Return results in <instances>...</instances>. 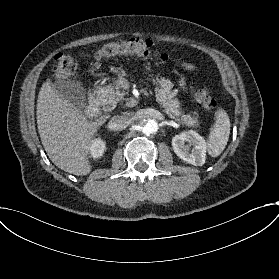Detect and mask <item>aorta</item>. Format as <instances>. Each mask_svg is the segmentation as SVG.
Listing matches in <instances>:
<instances>
[{
  "mask_svg": "<svg viewBox=\"0 0 279 279\" xmlns=\"http://www.w3.org/2000/svg\"><path fill=\"white\" fill-rule=\"evenodd\" d=\"M140 130L146 135H151L157 132L158 123L154 119H146L140 123Z\"/></svg>",
  "mask_w": 279,
  "mask_h": 279,
  "instance_id": "762f6f07",
  "label": "aorta"
}]
</instances>
